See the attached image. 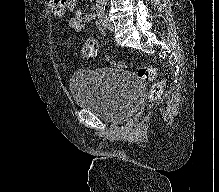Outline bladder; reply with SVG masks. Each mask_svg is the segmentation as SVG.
<instances>
[{
  "mask_svg": "<svg viewBox=\"0 0 219 192\" xmlns=\"http://www.w3.org/2000/svg\"><path fill=\"white\" fill-rule=\"evenodd\" d=\"M70 85L76 107L108 122H121L132 115L144 93L131 74L108 66L76 71Z\"/></svg>",
  "mask_w": 219,
  "mask_h": 192,
  "instance_id": "obj_1",
  "label": "bladder"
}]
</instances>
